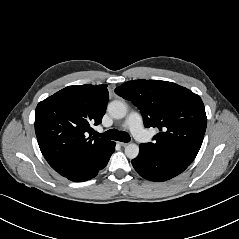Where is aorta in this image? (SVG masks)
I'll list each match as a JSON object with an SVG mask.
<instances>
[{
	"label": "aorta",
	"instance_id": "1",
	"mask_svg": "<svg viewBox=\"0 0 239 239\" xmlns=\"http://www.w3.org/2000/svg\"><path fill=\"white\" fill-rule=\"evenodd\" d=\"M107 110L111 117L122 119L126 116L127 106L124 102L115 100L108 104ZM125 154L129 159L136 158L139 154V146L135 143H129L125 147Z\"/></svg>",
	"mask_w": 239,
	"mask_h": 239
}]
</instances>
